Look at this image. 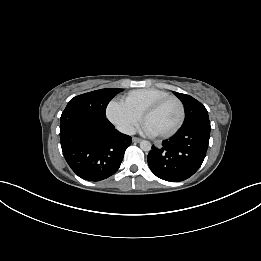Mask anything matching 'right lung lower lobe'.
Instances as JSON below:
<instances>
[{"label": "right lung lower lobe", "mask_w": 261, "mask_h": 261, "mask_svg": "<svg viewBox=\"0 0 261 261\" xmlns=\"http://www.w3.org/2000/svg\"><path fill=\"white\" fill-rule=\"evenodd\" d=\"M60 140L68 165L89 181L113 175L132 142L130 136L117 131L106 117L80 111L62 113Z\"/></svg>", "instance_id": "obj_1"}]
</instances>
